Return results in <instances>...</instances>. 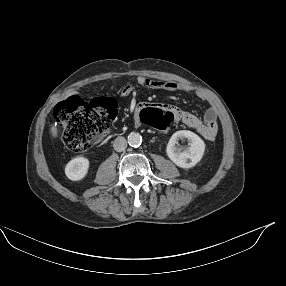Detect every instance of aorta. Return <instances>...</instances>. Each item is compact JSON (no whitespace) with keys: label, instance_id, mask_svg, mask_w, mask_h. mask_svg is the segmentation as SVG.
Masks as SVG:
<instances>
[{"label":"aorta","instance_id":"762f6f07","mask_svg":"<svg viewBox=\"0 0 286 286\" xmlns=\"http://www.w3.org/2000/svg\"><path fill=\"white\" fill-rule=\"evenodd\" d=\"M128 143L132 147H138L142 143V136L139 133L132 132L128 135Z\"/></svg>","mask_w":286,"mask_h":286}]
</instances>
